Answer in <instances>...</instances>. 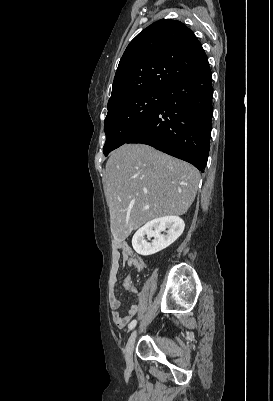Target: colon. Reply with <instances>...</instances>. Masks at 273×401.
I'll return each instance as SVG.
<instances>
[{
    "mask_svg": "<svg viewBox=\"0 0 273 401\" xmlns=\"http://www.w3.org/2000/svg\"><path fill=\"white\" fill-rule=\"evenodd\" d=\"M123 292L124 293H134L135 292V285L134 284H124L123 285Z\"/></svg>",
    "mask_w": 273,
    "mask_h": 401,
    "instance_id": "colon-1",
    "label": "colon"
}]
</instances>
